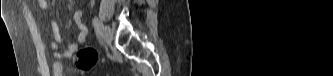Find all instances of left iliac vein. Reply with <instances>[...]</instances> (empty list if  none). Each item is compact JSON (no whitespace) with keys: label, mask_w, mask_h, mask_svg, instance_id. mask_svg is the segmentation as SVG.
<instances>
[{"label":"left iliac vein","mask_w":333,"mask_h":76,"mask_svg":"<svg viewBox=\"0 0 333 76\" xmlns=\"http://www.w3.org/2000/svg\"><path fill=\"white\" fill-rule=\"evenodd\" d=\"M102 36L104 41L110 45L113 40V31L108 26H103Z\"/></svg>","instance_id":"4c4485c4"}]
</instances>
